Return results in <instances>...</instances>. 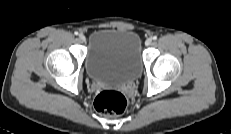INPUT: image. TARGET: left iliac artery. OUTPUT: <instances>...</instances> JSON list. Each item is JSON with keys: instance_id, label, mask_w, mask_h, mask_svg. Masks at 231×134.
I'll use <instances>...</instances> for the list:
<instances>
[{"instance_id": "44dca946", "label": "left iliac artery", "mask_w": 231, "mask_h": 134, "mask_svg": "<svg viewBox=\"0 0 231 134\" xmlns=\"http://www.w3.org/2000/svg\"><path fill=\"white\" fill-rule=\"evenodd\" d=\"M153 40H157V36H153Z\"/></svg>"}]
</instances>
